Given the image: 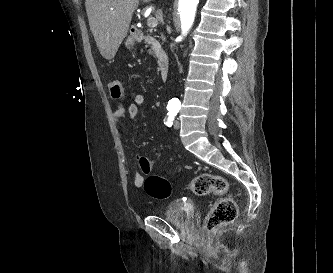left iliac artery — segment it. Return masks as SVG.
Segmentation results:
<instances>
[{
    "label": "left iliac artery",
    "instance_id": "obj_1",
    "mask_svg": "<svg viewBox=\"0 0 333 273\" xmlns=\"http://www.w3.org/2000/svg\"><path fill=\"white\" fill-rule=\"evenodd\" d=\"M177 112L178 111H176L174 109H170L167 113L168 116H167L164 124L167 125L168 127H171Z\"/></svg>",
    "mask_w": 333,
    "mask_h": 273
}]
</instances>
